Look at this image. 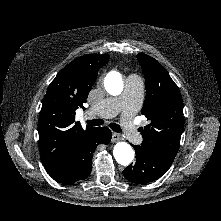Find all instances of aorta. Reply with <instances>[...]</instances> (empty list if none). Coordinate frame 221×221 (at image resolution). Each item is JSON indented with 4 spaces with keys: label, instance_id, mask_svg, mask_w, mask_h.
I'll return each instance as SVG.
<instances>
[{
    "label": "aorta",
    "instance_id": "obj_1",
    "mask_svg": "<svg viewBox=\"0 0 221 221\" xmlns=\"http://www.w3.org/2000/svg\"><path fill=\"white\" fill-rule=\"evenodd\" d=\"M106 91L111 95H119L123 90V80L120 73L112 71L107 74L104 80ZM113 155L117 163L128 166L134 159V150L126 142H118L114 146Z\"/></svg>",
    "mask_w": 221,
    "mask_h": 221
}]
</instances>
